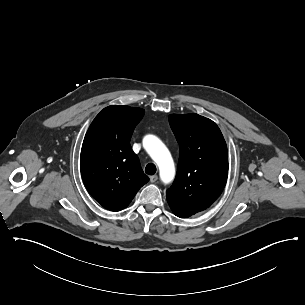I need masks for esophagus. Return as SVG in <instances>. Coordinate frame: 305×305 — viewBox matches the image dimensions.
Instances as JSON below:
<instances>
[{
    "instance_id": "esophagus-1",
    "label": "esophagus",
    "mask_w": 305,
    "mask_h": 305,
    "mask_svg": "<svg viewBox=\"0 0 305 305\" xmlns=\"http://www.w3.org/2000/svg\"><path fill=\"white\" fill-rule=\"evenodd\" d=\"M158 180V176L157 175H152L150 176V182H156Z\"/></svg>"
}]
</instances>
